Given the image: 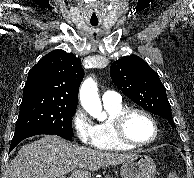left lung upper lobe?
<instances>
[{
    "instance_id": "obj_1",
    "label": "left lung upper lobe",
    "mask_w": 194,
    "mask_h": 178,
    "mask_svg": "<svg viewBox=\"0 0 194 178\" xmlns=\"http://www.w3.org/2000/svg\"><path fill=\"white\" fill-rule=\"evenodd\" d=\"M110 75L128 98L145 110L165 118L173 129L176 128L166 89L157 72L142 58L131 55L115 61L110 67Z\"/></svg>"
}]
</instances>
